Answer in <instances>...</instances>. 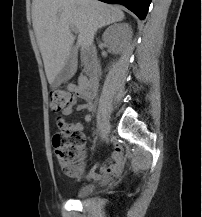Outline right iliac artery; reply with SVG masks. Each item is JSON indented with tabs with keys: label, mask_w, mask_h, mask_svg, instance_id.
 Returning a JSON list of instances; mask_svg holds the SVG:
<instances>
[{
	"label": "right iliac artery",
	"mask_w": 202,
	"mask_h": 217,
	"mask_svg": "<svg viewBox=\"0 0 202 217\" xmlns=\"http://www.w3.org/2000/svg\"><path fill=\"white\" fill-rule=\"evenodd\" d=\"M100 132H101V124L98 121V123H97V135L100 134Z\"/></svg>",
	"instance_id": "right-iliac-artery-1"
}]
</instances>
